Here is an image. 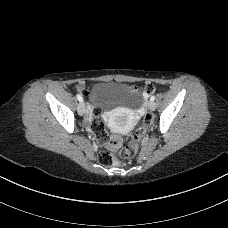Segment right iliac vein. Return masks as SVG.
I'll return each mask as SVG.
<instances>
[{
    "instance_id": "right-iliac-vein-1",
    "label": "right iliac vein",
    "mask_w": 228,
    "mask_h": 228,
    "mask_svg": "<svg viewBox=\"0 0 228 228\" xmlns=\"http://www.w3.org/2000/svg\"><path fill=\"white\" fill-rule=\"evenodd\" d=\"M77 111H78V114L80 116H83L84 113H85V103L83 101H81L78 105V108H77Z\"/></svg>"
}]
</instances>
